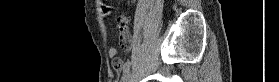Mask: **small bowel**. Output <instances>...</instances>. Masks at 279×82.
<instances>
[{
  "instance_id": "c3829d8e",
  "label": "small bowel",
  "mask_w": 279,
  "mask_h": 82,
  "mask_svg": "<svg viewBox=\"0 0 279 82\" xmlns=\"http://www.w3.org/2000/svg\"><path fill=\"white\" fill-rule=\"evenodd\" d=\"M98 7L101 8L102 13L104 16H108L110 14V9L107 7L104 2L97 1ZM119 33H120V43L124 50H129L131 45V38L129 35V26L128 24L125 25V27L121 28L118 26ZM109 57L113 60V69L116 72H120L124 66L122 60H120L118 56V50L116 47H110L108 51Z\"/></svg>"
}]
</instances>
